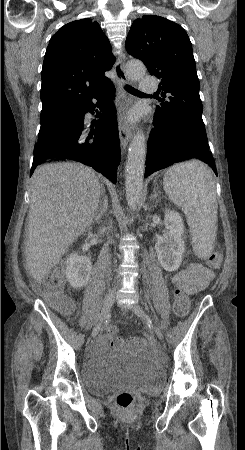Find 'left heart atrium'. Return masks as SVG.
Here are the masks:
<instances>
[{
    "mask_svg": "<svg viewBox=\"0 0 245 450\" xmlns=\"http://www.w3.org/2000/svg\"><path fill=\"white\" fill-rule=\"evenodd\" d=\"M137 117H138V114H137L136 112H131V113L129 114V116H128V120H129V121H134V120L137 119Z\"/></svg>",
    "mask_w": 245,
    "mask_h": 450,
    "instance_id": "1",
    "label": "left heart atrium"
}]
</instances>
